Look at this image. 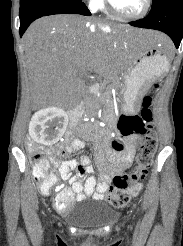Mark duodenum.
Listing matches in <instances>:
<instances>
[{"label":"duodenum","instance_id":"duodenum-1","mask_svg":"<svg viewBox=\"0 0 183 246\" xmlns=\"http://www.w3.org/2000/svg\"><path fill=\"white\" fill-rule=\"evenodd\" d=\"M98 91L99 87L97 85H91L88 89L90 96L97 94ZM76 107L77 108L70 110L68 113L71 126H75L78 122L79 116H81L82 113H85V104H77Z\"/></svg>","mask_w":183,"mask_h":246}]
</instances>
